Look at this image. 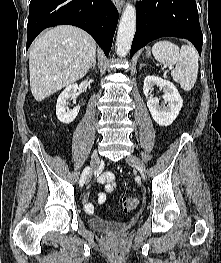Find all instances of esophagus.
I'll return each mask as SVG.
<instances>
[{"label": "esophagus", "mask_w": 221, "mask_h": 263, "mask_svg": "<svg viewBox=\"0 0 221 263\" xmlns=\"http://www.w3.org/2000/svg\"><path fill=\"white\" fill-rule=\"evenodd\" d=\"M113 3L115 5V7L118 9V11L120 12L122 7H123V1L122 0H113Z\"/></svg>", "instance_id": "obj_1"}]
</instances>
